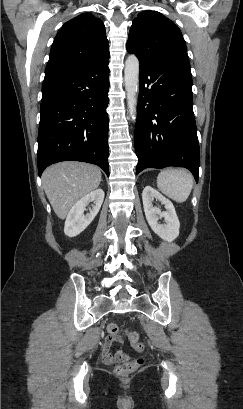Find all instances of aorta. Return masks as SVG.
I'll return each instance as SVG.
<instances>
[{
  "label": "aorta",
  "instance_id": "obj_1",
  "mask_svg": "<svg viewBox=\"0 0 243 409\" xmlns=\"http://www.w3.org/2000/svg\"><path fill=\"white\" fill-rule=\"evenodd\" d=\"M124 81L129 116L135 121L137 116L139 90V61L133 54L129 55L125 61Z\"/></svg>",
  "mask_w": 243,
  "mask_h": 409
}]
</instances>
